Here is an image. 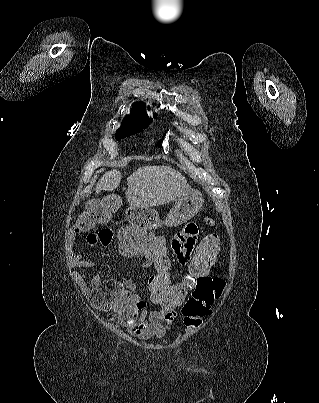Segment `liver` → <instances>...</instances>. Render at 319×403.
I'll use <instances>...</instances> for the list:
<instances>
[{"label": "liver", "mask_w": 319, "mask_h": 403, "mask_svg": "<svg viewBox=\"0 0 319 403\" xmlns=\"http://www.w3.org/2000/svg\"><path fill=\"white\" fill-rule=\"evenodd\" d=\"M122 174L113 169L98 181L95 195L115 190ZM126 198L134 208H149L167 204L192 190L185 177L169 166H143L127 178Z\"/></svg>", "instance_id": "obj_1"}]
</instances>
